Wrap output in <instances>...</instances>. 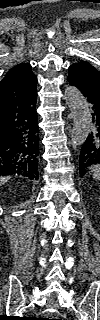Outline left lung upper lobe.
I'll return each mask as SVG.
<instances>
[{
  "label": "left lung upper lobe",
  "instance_id": "obj_1",
  "mask_svg": "<svg viewBox=\"0 0 100 320\" xmlns=\"http://www.w3.org/2000/svg\"><path fill=\"white\" fill-rule=\"evenodd\" d=\"M69 73L77 75L100 91V72L90 63L86 61L74 63L69 67Z\"/></svg>",
  "mask_w": 100,
  "mask_h": 320
}]
</instances>
